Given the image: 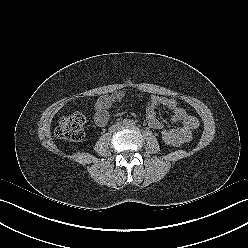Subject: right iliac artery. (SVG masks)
I'll return each instance as SVG.
<instances>
[{
  "mask_svg": "<svg viewBox=\"0 0 248 248\" xmlns=\"http://www.w3.org/2000/svg\"><path fill=\"white\" fill-rule=\"evenodd\" d=\"M130 121L128 119L123 120V124L127 125Z\"/></svg>",
  "mask_w": 248,
  "mask_h": 248,
  "instance_id": "obj_1",
  "label": "right iliac artery"
}]
</instances>
